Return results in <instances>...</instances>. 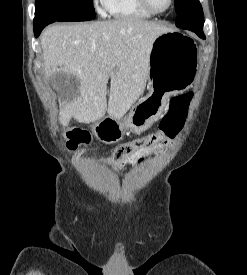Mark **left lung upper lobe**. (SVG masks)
Listing matches in <instances>:
<instances>
[{
    "mask_svg": "<svg viewBox=\"0 0 247 275\" xmlns=\"http://www.w3.org/2000/svg\"><path fill=\"white\" fill-rule=\"evenodd\" d=\"M176 26L183 29H202L204 17L199 0H175Z\"/></svg>",
    "mask_w": 247,
    "mask_h": 275,
    "instance_id": "left-lung-upper-lobe-1",
    "label": "left lung upper lobe"
}]
</instances>
